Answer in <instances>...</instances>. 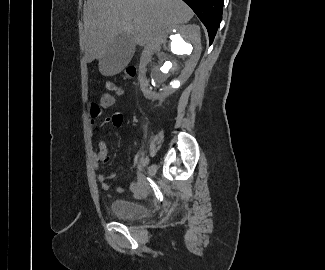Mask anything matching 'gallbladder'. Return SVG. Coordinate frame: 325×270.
Returning a JSON list of instances; mask_svg holds the SVG:
<instances>
[{
  "mask_svg": "<svg viewBox=\"0 0 325 270\" xmlns=\"http://www.w3.org/2000/svg\"><path fill=\"white\" fill-rule=\"evenodd\" d=\"M136 44L129 34H121L111 42L106 53L99 61V68L104 75L113 76L129 63Z\"/></svg>",
  "mask_w": 325,
  "mask_h": 270,
  "instance_id": "gallbladder-1",
  "label": "gallbladder"
}]
</instances>
